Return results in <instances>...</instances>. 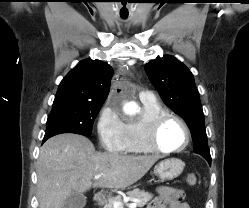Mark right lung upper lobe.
<instances>
[{
    "mask_svg": "<svg viewBox=\"0 0 249 208\" xmlns=\"http://www.w3.org/2000/svg\"><path fill=\"white\" fill-rule=\"evenodd\" d=\"M113 69L99 60L78 63L61 81L53 106L68 103H104Z\"/></svg>",
    "mask_w": 249,
    "mask_h": 208,
    "instance_id": "right-lung-upper-lobe-1",
    "label": "right lung upper lobe"
}]
</instances>
